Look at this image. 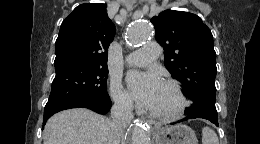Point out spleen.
Wrapping results in <instances>:
<instances>
[{
    "label": "spleen",
    "instance_id": "1",
    "mask_svg": "<svg viewBox=\"0 0 260 144\" xmlns=\"http://www.w3.org/2000/svg\"><path fill=\"white\" fill-rule=\"evenodd\" d=\"M202 144H219L217 134L210 127L202 129Z\"/></svg>",
    "mask_w": 260,
    "mask_h": 144
}]
</instances>
